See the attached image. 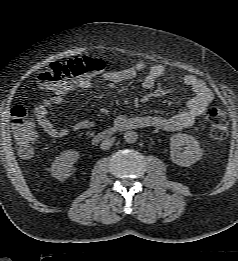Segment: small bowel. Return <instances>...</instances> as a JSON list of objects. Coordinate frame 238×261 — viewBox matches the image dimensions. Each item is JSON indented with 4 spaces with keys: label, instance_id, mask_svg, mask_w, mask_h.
<instances>
[{
    "label": "small bowel",
    "instance_id": "obj_1",
    "mask_svg": "<svg viewBox=\"0 0 238 261\" xmlns=\"http://www.w3.org/2000/svg\"><path fill=\"white\" fill-rule=\"evenodd\" d=\"M147 64L144 61H139L135 65L120 69L110 70L104 69L100 72L102 78L109 83H120L134 78L138 73L144 71ZM166 73V67L162 64H157L148 70V73L142 80L144 89L154 87L156 81ZM182 82L192 92L193 96L187 103V108L171 117H163L159 115L147 116H130L121 114L116 117L115 125L126 129L152 127L161 129L167 132H176L189 128L194 122L201 117L210 103L213 100V93L204 81L194 75H184ZM91 86V78L84 77L74 80L65 92H54L52 96L44 99L34 110L36 120L43 131L53 138H62L67 136L70 131L89 130L94 127V121L91 118L82 119L69 128L57 125L50 117V110L62 104L64 94L73 89L79 88L86 90Z\"/></svg>",
    "mask_w": 238,
    "mask_h": 261
}]
</instances>
